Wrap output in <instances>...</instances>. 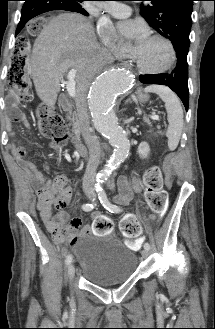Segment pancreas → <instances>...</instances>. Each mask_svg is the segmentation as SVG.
<instances>
[{"instance_id":"1","label":"pancreas","mask_w":215,"mask_h":329,"mask_svg":"<svg viewBox=\"0 0 215 329\" xmlns=\"http://www.w3.org/2000/svg\"><path fill=\"white\" fill-rule=\"evenodd\" d=\"M71 121H72V131L76 134H78L80 132V121L76 115V113H71ZM145 122L148 124V125H151V122L149 120H145Z\"/></svg>"}]
</instances>
